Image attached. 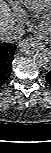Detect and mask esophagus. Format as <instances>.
I'll use <instances>...</instances> for the list:
<instances>
[{"mask_svg": "<svg viewBox=\"0 0 51 153\" xmlns=\"http://www.w3.org/2000/svg\"><path fill=\"white\" fill-rule=\"evenodd\" d=\"M37 39H41L42 38V33L41 32H35L34 35Z\"/></svg>", "mask_w": 51, "mask_h": 153, "instance_id": "esophagus-1", "label": "esophagus"}]
</instances>
